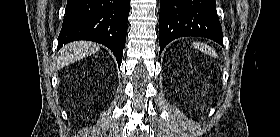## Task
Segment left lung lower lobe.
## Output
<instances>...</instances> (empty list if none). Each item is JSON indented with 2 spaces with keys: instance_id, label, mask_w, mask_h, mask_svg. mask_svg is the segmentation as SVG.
Masks as SVG:
<instances>
[{
  "instance_id": "left-lung-lower-lobe-1",
  "label": "left lung lower lobe",
  "mask_w": 280,
  "mask_h": 137,
  "mask_svg": "<svg viewBox=\"0 0 280 137\" xmlns=\"http://www.w3.org/2000/svg\"><path fill=\"white\" fill-rule=\"evenodd\" d=\"M205 37L223 44L215 0H160V53L179 37Z\"/></svg>"
}]
</instances>
